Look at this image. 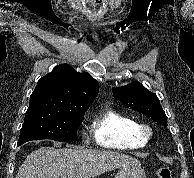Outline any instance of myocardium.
<instances>
[{
    "label": "myocardium",
    "instance_id": "f54148a6",
    "mask_svg": "<svg viewBox=\"0 0 194 178\" xmlns=\"http://www.w3.org/2000/svg\"><path fill=\"white\" fill-rule=\"evenodd\" d=\"M136 134L140 139L147 142L153 136V129L147 123H137V125H136Z\"/></svg>",
    "mask_w": 194,
    "mask_h": 178
}]
</instances>
